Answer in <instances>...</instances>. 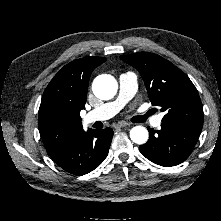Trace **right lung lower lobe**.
I'll list each match as a JSON object with an SVG mask.
<instances>
[{"mask_svg":"<svg viewBox=\"0 0 221 221\" xmlns=\"http://www.w3.org/2000/svg\"><path fill=\"white\" fill-rule=\"evenodd\" d=\"M112 136L113 130L109 127L104 130L89 129L61 146L50 156L65 171L84 175L104 161Z\"/></svg>","mask_w":221,"mask_h":221,"instance_id":"98d812e1","label":"right lung lower lobe"}]
</instances>
